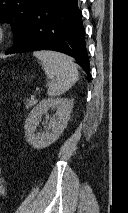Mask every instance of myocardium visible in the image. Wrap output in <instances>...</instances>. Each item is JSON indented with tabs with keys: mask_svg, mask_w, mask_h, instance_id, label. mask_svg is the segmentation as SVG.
Here are the masks:
<instances>
[{
	"mask_svg": "<svg viewBox=\"0 0 128 213\" xmlns=\"http://www.w3.org/2000/svg\"><path fill=\"white\" fill-rule=\"evenodd\" d=\"M8 37V31L3 23H0V45L3 44Z\"/></svg>",
	"mask_w": 128,
	"mask_h": 213,
	"instance_id": "1",
	"label": "myocardium"
}]
</instances>
